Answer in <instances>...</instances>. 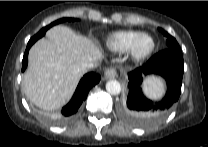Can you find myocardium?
Masks as SVG:
<instances>
[{
	"label": "myocardium",
	"mask_w": 208,
	"mask_h": 147,
	"mask_svg": "<svg viewBox=\"0 0 208 147\" xmlns=\"http://www.w3.org/2000/svg\"><path fill=\"white\" fill-rule=\"evenodd\" d=\"M145 37H149L151 39L152 45L147 51L141 53L138 51V45H139V42ZM155 48H156L155 38L150 33L143 32V33H140L132 41V43L130 44V46L127 50V54L134 61H143V60L147 59L154 52Z\"/></svg>",
	"instance_id": "1"
}]
</instances>
